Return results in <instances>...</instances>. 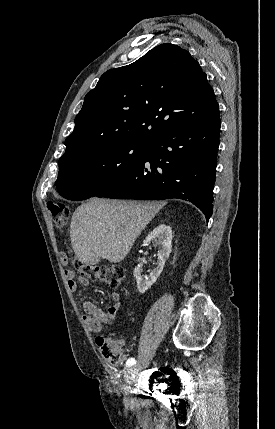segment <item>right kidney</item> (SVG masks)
<instances>
[{"instance_id": "ca27d5eb", "label": "right kidney", "mask_w": 275, "mask_h": 429, "mask_svg": "<svg viewBox=\"0 0 275 429\" xmlns=\"http://www.w3.org/2000/svg\"><path fill=\"white\" fill-rule=\"evenodd\" d=\"M151 242L159 244L158 260L156 267L150 272L149 276H143L140 267H135L134 277L137 281L139 293H145L157 280L165 265L166 259L172 251V230L165 224H160L146 237L144 245Z\"/></svg>"}]
</instances>
